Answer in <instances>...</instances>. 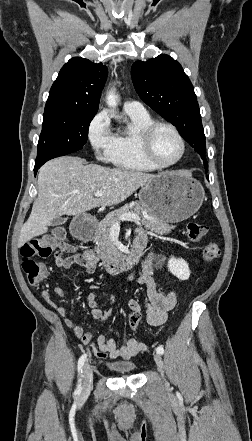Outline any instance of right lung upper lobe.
I'll use <instances>...</instances> for the list:
<instances>
[{
    "label": "right lung upper lobe",
    "instance_id": "cb5924a9",
    "mask_svg": "<svg viewBox=\"0 0 252 441\" xmlns=\"http://www.w3.org/2000/svg\"><path fill=\"white\" fill-rule=\"evenodd\" d=\"M107 73L102 63L81 57L70 59L51 87L45 111L96 113Z\"/></svg>",
    "mask_w": 252,
    "mask_h": 441
}]
</instances>
